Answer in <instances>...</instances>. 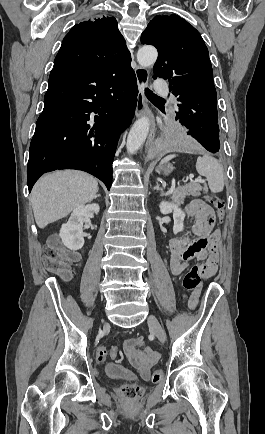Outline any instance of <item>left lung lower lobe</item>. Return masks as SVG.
Here are the masks:
<instances>
[{
  "mask_svg": "<svg viewBox=\"0 0 265 434\" xmlns=\"http://www.w3.org/2000/svg\"><path fill=\"white\" fill-rule=\"evenodd\" d=\"M189 135L193 137L200 145L211 153H217L221 150L218 129H189Z\"/></svg>",
  "mask_w": 265,
  "mask_h": 434,
  "instance_id": "0a47b994",
  "label": "left lung lower lobe"
}]
</instances>
